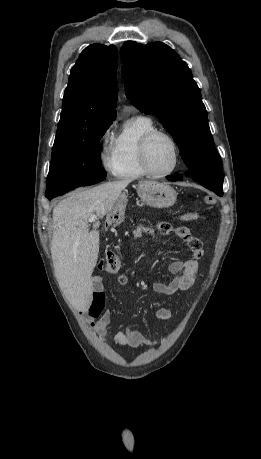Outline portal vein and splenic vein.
<instances>
[{"instance_id": "1", "label": "portal vein and splenic vein", "mask_w": 261, "mask_h": 459, "mask_svg": "<svg viewBox=\"0 0 261 459\" xmlns=\"http://www.w3.org/2000/svg\"><path fill=\"white\" fill-rule=\"evenodd\" d=\"M96 220H97V216H96V215H91V216H89V218H88V222H91V223H92V222H95Z\"/></svg>"}]
</instances>
